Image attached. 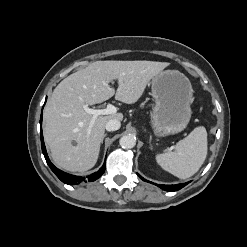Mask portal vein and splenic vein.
<instances>
[{"label": "portal vein and splenic vein", "instance_id": "18ae733b", "mask_svg": "<svg viewBox=\"0 0 247 247\" xmlns=\"http://www.w3.org/2000/svg\"><path fill=\"white\" fill-rule=\"evenodd\" d=\"M83 108L88 114L93 115L92 122L100 115H109L117 112V108L112 104H108L105 109H92L87 105H84Z\"/></svg>", "mask_w": 247, "mask_h": 247}]
</instances>
